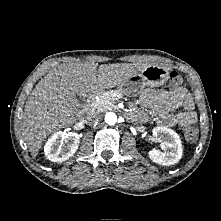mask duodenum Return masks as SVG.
I'll use <instances>...</instances> for the list:
<instances>
[{"label":"duodenum","mask_w":221,"mask_h":221,"mask_svg":"<svg viewBox=\"0 0 221 221\" xmlns=\"http://www.w3.org/2000/svg\"><path fill=\"white\" fill-rule=\"evenodd\" d=\"M96 96L97 94L95 92L90 93L86 98L87 102L92 103L95 100Z\"/></svg>","instance_id":"duodenum-1"}]
</instances>
